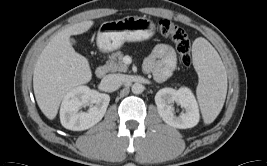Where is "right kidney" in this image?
Listing matches in <instances>:
<instances>
[{
    "label": "right kidney",
    "mask_w": 267,
    "mask_h": 166,
    "mask_svg": "<svg viewBox=\"0 0 267 166\" xmlns=\"http://www.w3.org/2000/svg\"><path fill=\"white\" fill-rule=\"evenodd\" d=\"M108 94L99 93L87 86H78L69 91L61 104L60 120L63 127L73 131L86 130L97 124L109 105ZM90 104L87 112H78Z\"/></svg>",
    "instance_id": "ca27d5eb"
}]
</instances>
